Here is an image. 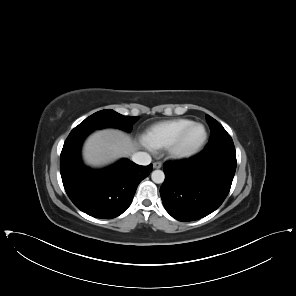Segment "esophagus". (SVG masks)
Returning a JSON list of instances; mask_svg holds the SVG:
<instances>
[{"mask_svg":"<svg viewBox=\"0 0 296 296\" xmlns=\"http://www.w3.org/2000/svg\"><path fill=\"white\" fill-rule=\"evenodd\" d=\"M161 167H162V163L161 162H154L153 163V168L160 169Z\"/></svg>","mask_w":296,"mask_h":296,"instance_id":"esophagus-1","label":"esophagus"}]
</instances>
